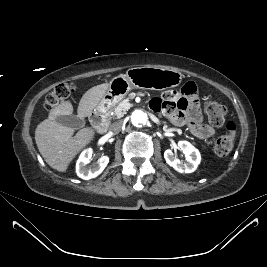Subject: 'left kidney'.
Wrapping results in <instances>:
<instances>
[{
  "label": "left kidney",
  "mask_w": 267,
  "mask_h": 267,
  "mask_svg": "<svg viewBox=\"0 0 267 267\" xmlns=\"http://www.w3.org/2000/svg\"><path fill=\"white\" fill-rule=\"evenodd\" d=\"M178 147L184 153L186 162H181L171 149H167L164 152L167 164L180 173L194 172L201 159L199 151L188 141H179Z\"/></svg>",
  "instance_id": "5707ae66"
}]
</instances>
